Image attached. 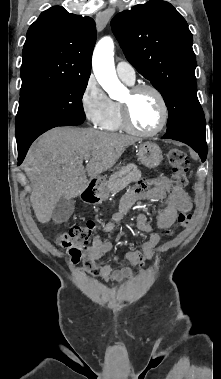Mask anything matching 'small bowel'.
I'll use <instances>...</instances> for the list:
<instances>
[{
    "instance_id": "1",
    "label": "small bowel",
    "mask_w": 221,
    "mask_h": 379,
    "mask_svg": "<svg viewBox=\"0 0 221 379\" xmlns=\"http://www.w3.org/2000/svg\"><path fill=\"white\" fill-rule=\"evenodd\" d=\"M163 199H166L165 205L157 214L155 226L148 222L144 213L138 214L136 218L138 230L148 234V238L142 243L140 249L115 254L108 263L99 265L97 261L111 252L113 246L111 242L97 234L94 236L92 246L87 254L85 272L105 282L121 283L124 280L132 279V267H142L146 261L154 257L161 240L158 230L171 227L178 214L188 213L191 210L192 202L188 193L183 188L176 186L166 176L140 180L122 197L119 210L101 226V233L109 235L120 226L136 201ZM121 260L124 261V265L120 269L113 270L114 264Z\"/></svg>"
}]
</instances>
